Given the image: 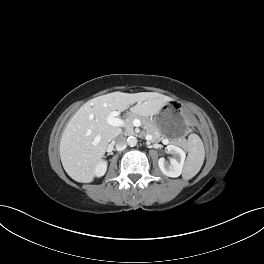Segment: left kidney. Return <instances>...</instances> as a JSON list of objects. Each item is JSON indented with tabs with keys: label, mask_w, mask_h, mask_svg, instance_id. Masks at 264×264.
<instances>
[{
	"label": "left kidney",
	"mask_w": 264,
	"mask_h": 264,
	"mask_svg": "<svg viewBox=\"0 0 264 264\" xmlns=\"http://www.w3.org/2000/svg\"><path fill=\"white\" fill-rule=\"evenodd\" d=\"M167 150L173 157L170 158L169 162L165 158H160L158 161L159 168L168 177H179L183 170L186 154L180 147L171 144L167 146Z\"/></svg>",
	"instance_id": "left-kidney-1"
}]
</instances>
